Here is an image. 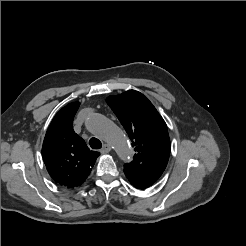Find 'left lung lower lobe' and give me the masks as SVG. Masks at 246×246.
I'll use <instances>...</instances> for the list:
<instances>
[{
  "instance_id": "obj_1",
  "label": "left lung lower lobe",
  "mask_w": 246,
  "mask_h": 246,
  "mask_svg": "<svg viewBox=\"0 0 246 246\" xmlns=\"http://www.w3.org/2000/svg\"><path fill=\"white\" fill-rule=\"evenodd\" d=\"M124 173L126 175V177L128 178V180L130 181V183L136 187L137 189H146L148 187H150L154 182L138 175L135 174L131 171L128 170H124Z\"/></svg>"
}]
</instances>
